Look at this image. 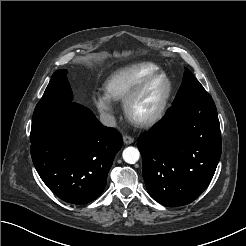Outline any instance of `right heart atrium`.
I'll return each mask as SVG.
<instances>
[{
  "label": "right heart atrium",
  "instance_id": "right-heart-atrium-1",
  "mask_svg": "<svg viewBox=\"0 0 246 246\" xmlns=\"http://www.w3.org/2000/svg\"><path fill=\"white\" fill-rule=\"evenodd\" d=\"M94 103L101 113L107 116L114 114L112 99L106 93H98L94 98Z\"/></svg>",
  "mask_w": 246,
  "mask_h": 246
}]
</instances>
